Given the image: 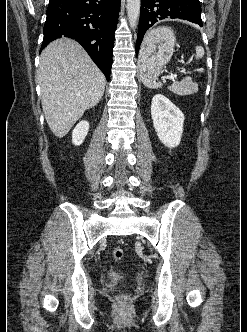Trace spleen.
I'll return each mask as SVG.
<instances>
[{
    "label": "spleen",
    "mask_w": 247,
    "mask_h": 332,
    "mask_svg": "<svg viewBox=\"0 0 247 332\" xmlns=\"http://www.w3.org/2000/svg\"><path fill=\"white\" fill-rule=\"evenodd\" d=\"M203 55H204L203 47L197 46L196 55H195L196 59L202 58ZM142 82L146 87L151 89H158L162 87V84L159 82L156 83L154 79L142 78ZM169 89L178 95H187L190 94L192 91L197 90L196 87L189 89L186 87L184 83H177V82H174Z\"/></svg>",
    "instance_id": "1"
}]
</instances>
